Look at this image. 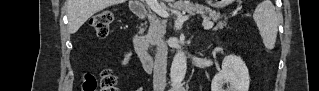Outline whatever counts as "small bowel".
<instances>
[{
	"label": "small bowel",
	"mask_w": 319,
	"mask_h": 91,
	"mask_svg": "<svg viewBox=\"0 0 319 91\" xmlns=\"http://www.w3.org/2000/svg\"><path fill=\"white\" fill-rule=\"evenodd\" d=\"M125 53H126V57L124 59L120 60V63L122 65H125L129 62V53L127 51H125Z\"/></svg>",
	"instance_id": "1"
}]
</instances>
